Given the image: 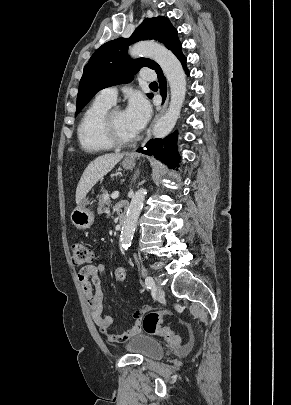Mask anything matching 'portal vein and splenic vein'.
<instances>
[{"label":"portal vein and splenic vein","mask_w":291,"mask_h":405,"mask_svg":"<svg viewBox=\"0 0 291 405\" xmlns=\"http://www.w3.org/2000/svg\"><path fill=\"white\" fill-rule=\"evenodd\" d=\"M118 196H119V192H118V191H114V192L112 193V195H111V198H112V199H116V198H118Z\"/></svg>","instance_id":"18ae733b"}]
</instances>
